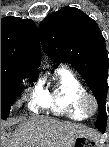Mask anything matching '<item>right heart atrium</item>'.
I'll return each mask as SVG.
<instances>
[{"instance_id":"1","label":"right heart atrium","mask_w":109,"mask_h":147,"mask_svg":"<svg viewBox=\"0 0 109 147\" xmlns=\"http://www.w3.org/2000/svg\"><path fill=\"white\" fill-rule=\"evenodd\" d=\"M40 95H41V89L39 88V89H37L35 96L39 97Z\"/></svg>"}]
</instances>
